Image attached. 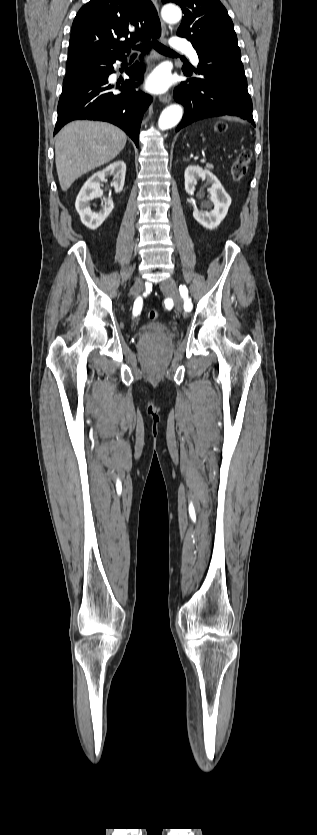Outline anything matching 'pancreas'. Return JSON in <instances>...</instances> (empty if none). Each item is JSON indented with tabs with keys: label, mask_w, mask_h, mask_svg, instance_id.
Wrapping results in <instances>:
<instances>
[{
	"label": "pancreas",
	"mask_w": 317,
	"mask_h": 835,
	"mask_svg": "<svg viewBox=\"0 0 317 835\" xmlns=\"http://www.w3.org/2000/svg\"><path fill=\"white\" fill-rule=\"evenodd\" d=\"M206 168H208V169H213V168H214V166H213L212 164H209V163H208V164L206 165Z\"/></svg>",
	"instance_id": "cf45deb5"
}]
</instances>
